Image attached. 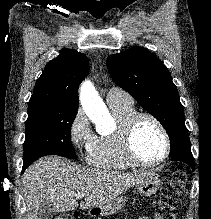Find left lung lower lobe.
<instances>
[{"mask_svg": "<svg viewBox=\"0 0 211 219\" xmlns=\"http://www.w3.org/2000/svg\"><path fill=\"white\" fill-rule=\"evenodd\" d=\"M170 156H171V160H177V161L184 162L190 165L192 169L194 170V158H193L190 148L179 150L177 153L170 155Z\"/></svg>", "mask_w": 211, "mask_h": 219, "instance_id": "obj_1", "label": "left lung lower lobe"}]
</instances>
